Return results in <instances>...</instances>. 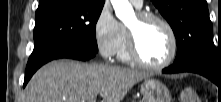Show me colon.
<instances>
[{
	"instance_id": "colon-1",
	"label": "colon",
	"mask_w": 221,
	"mask_h": 102,
	"mask_svg": "<svg viewBox=\"0 0 221 102\" xmlns=\"http://www.w3.org/2000/svg\"><path fill=\"white\" fill-rule=\"evenodd\" d=\"M180 102H201V100L194 89L185 88L180 94Z\"/></svg>"
}]
</instances>
